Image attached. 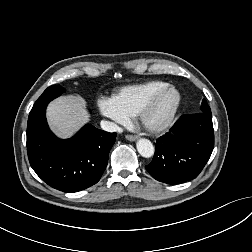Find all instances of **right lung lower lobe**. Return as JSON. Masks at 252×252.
<instances>
[{
	"label": "right lung lower lobe",
	"instance_id": "98d812e1",
	"mask_svg": "<svg viewBox=\"0 0 252 252\" xmlns=\"http://www.w3.org/2000/svg\"><path fill=\"white\" fill-rule=\"evenodd\" d=\"M46 107L30 112L27 153L35 173L49 186L78 192L96 184L108 163L116 133L85 125L74 137L59 139L49 129Z\"/></svg>",
	"mask_w": 252,
	"mask_h": 252
}]
</instances>
